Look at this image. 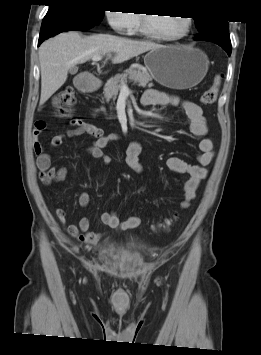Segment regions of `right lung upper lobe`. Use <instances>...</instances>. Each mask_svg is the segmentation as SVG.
Wrapping results in <instances>:
<instances>
[{"instance_id":"right-lung-upper-lobe-1","label":"right lung upper lobe","mask_w":261,"mask_h":355,"mask_svg":"<svg viewBox=\"0 0 261 355\" xmlns=\"http://www.w3.org/2000/svg\"><path fill=\"white\" fill-rule=\"evenodd\" d=\"M48 1H50L51 4H54V3L65 1V0H48Z\"/></svg>"}]
</instances>
